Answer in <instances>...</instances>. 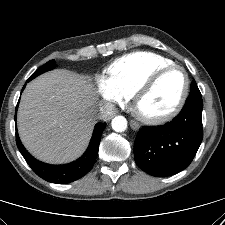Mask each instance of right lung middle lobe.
Here are the masks:
<instances>
[{"instance_id":"right-lung-middle-lobe-1","label":"right lung middle lobe","mask_w":225,"mask_h":225,"mask_svg":"<svg viewBox=\"0 0 225 225\" xmlns=\"http://www.w3.org/2000/svg\"><path fill=\"white\" fill-rule=\"evenodd\" d=\"M55 67V60H50L48 61L45 65H43L42 67H40L39 69H37L30 77L29 80H32L33 78L37 77L38 75L52 70Z\"/></svg>"}]
</instances>
